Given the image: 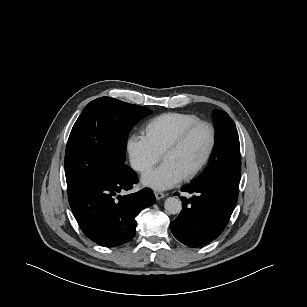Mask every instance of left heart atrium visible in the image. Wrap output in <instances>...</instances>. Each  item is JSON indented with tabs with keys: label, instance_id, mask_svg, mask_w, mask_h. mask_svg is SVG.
Segmentation results:
<instances>
[{
	"label": "left heart atrium",
	"instance_id": "left-heart-atrium-1",
	"mask_svg": "<svg viewBox=\"0 0 307 307\" xmlns=\"http://www.w3.org/2000/svg\"><path fill=\"white\" fill-rule=\"evenodd\" d=\"M183 179V174L172 164L162 163L159 167L152 169L142 176L144 185L156 189H168Z\"/></svg>",
	"mask_w": 307,
	"mask_h": 307
}]
</instances>
